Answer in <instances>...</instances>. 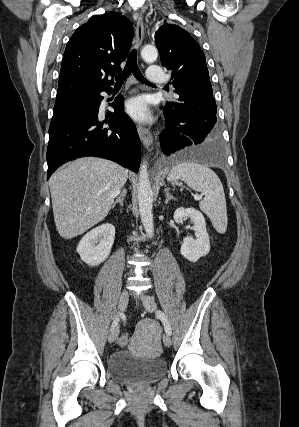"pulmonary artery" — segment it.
Returning <instances> with one entry per match:
<instances>
[{
    "label": "pulmonary artery",
    "instance_id": "pulmonary-artery-1",
    "mask_svg": "<svg viewBox=\"0 0 299 427\" xmlns=\"http://www.w3.org/2000/svg\"><path fill=\"white\" fill-rule=\"evenodd\" d=\"M146 77L149 81L152 82H163L164 72L160 66L152 65L147 70Z\"/></svg>",
    "mask_w": 299,
    "mask_h": 427
}]
</instances>
